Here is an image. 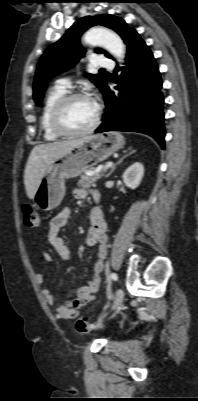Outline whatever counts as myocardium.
<instances>
[{
    "mask_svg": "<svg viewBox=\"0 0 198 401\" xmlns=\"http://www.w3.org/2000/svg\"><path fill=\"white\" fill-rule=\"evenodd\" d=\"M81 98H90L89 95H87L84 92H73V93H68L61 97L55 106L53 107L52 113H51V126L53 130L59 134L60 136L63 137H78L82 135L89 134L93 132L100 124L101 121V115H102V110L100 105L96 102L97 106V111H96V116L92 124L82 130H71L69 129L65 124H64V113L67 108V106L74 100L76 99H81ZM91 99V98H90Z\"/></svg>",
    "mask_w": 198,
    "mask_h": 401,
    "instance_id": "obj_1",
    "label": "myocardium"
}]
</instances>
